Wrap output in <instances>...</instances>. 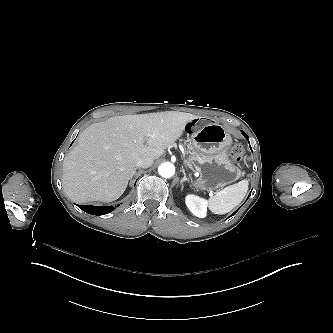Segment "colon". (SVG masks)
Returning a JSON list of instances; mask_svg holds the SVG:
<instances>
[{"instance_id":"1","label":"colon","mask_w":333,"mask_h":333,"mask_svg":"<svg viewBox=\"0 0 333 333\" xmlns=\"http://www.w3.org/2000/svg\"><path fill=\"white\" fill-rule=\"evenodd\" d=\"M243 153L244 149L242 145L238 143L234 144L230 151L231 157L237 161L241 160Z\"/></svg>"}]
</instances>
